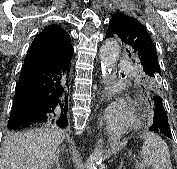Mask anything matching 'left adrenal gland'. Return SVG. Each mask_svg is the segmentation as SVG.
<instances>
[{"mask_svg": "<svg viewBox=\"0 0 177 169\" xmlns=\"http://www.w3.org/2000/svg\"><path fill=\"white\" fill-rule=\"evenodd\" d=\"M123 164H124V162H123V160H122V161L120 162V165H119L118 169H122Z\"/></svg>", "mask_w": 177, "mask_h": 169, "instance_id": "obj_1", "label": "left adrenal gland"}]
</instances>
